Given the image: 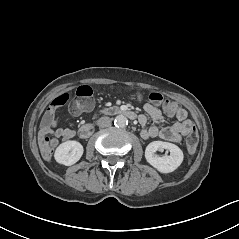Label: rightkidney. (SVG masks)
<instances>
[{"instance_id":"right-kidney-1","label":"right kidney","mask_w":239,"mask_h":239,"mask_svg":"<svg viewBox=\"0 0 239 239\" xmlns=\"http://www.w3.org/2000/svg\"><path fill=\"white\" fill-rule=\"evenodd\" d=\"M84 153L82 144L77 141L64 142L55 151V158L63 165L78 162Z\"/></svg>"}]
</instances>
